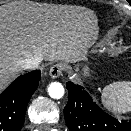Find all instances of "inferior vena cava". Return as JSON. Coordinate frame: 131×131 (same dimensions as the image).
<instances>
[{"label":"inferior vena cava","instance_id":"1","mask_svg":"<svg viewBox=\"0 0 131 131\" xmlns=\"http://www.w3.org/2000/svg\"><path fill=\"white\" fill-rule=\"evenodd\" d=\"M43 61V58L40 56H32L18 62L20 68L25 69H34L39 67L40 63Z\"/></svg>","mask_w":131,"mask_h":131}]
</instances>
